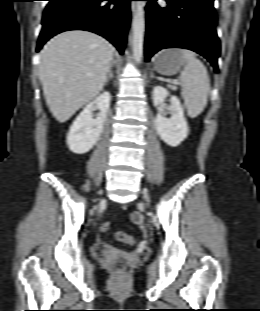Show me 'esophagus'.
<instances>
[{
    "mask_svg": "<svg viewBox=\"0 0 260 311\" xmlns=\"http://www.w3.org/2000/svg\"><path fill=\"white\" fill-rule=\"evenodd\" d=\"M131 8H132V12H135L136 7L134 4L131 5Z\"/></svg>",
    "mask_w": 260,
    "mask_h": 311,
    "instance_id": "esophagus-1",
    "label": "esophagus"
}]
</instances>
